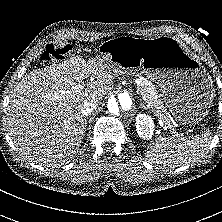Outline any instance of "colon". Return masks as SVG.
I'll list each match as a JSON object with an SVG mask.
<instances>
[{
	"label": "colon",
	"instance_id": "5ec220e1",
	"mask_svg": "<svg viewBox=\"0 0 222 222\" xmlns=\"http://www.w3.org/2000/svg\"><path fill=\"white\" fill-rule=\"evenodd\" d=\"M69 49V46L56 47L54 45H49L42 53L41 59L45 63H54L63 59L68 54Z\"/></svg>",
	"mask_w": 222,
	"mask_h": 222
}]
</instances>
